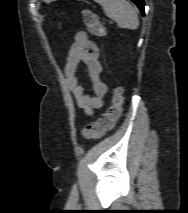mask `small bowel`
Returning <instances> with one entry per match:
<instances>
[{"mask_svg": "<svg viewBox=\"0 0 188 213\" xmlns=\"http://www.w3.org/2000/svg\"><path fill=\"white\" fill-rule=\"evenodd\" d=\"M81 63L87 67L91 81V93L87 92L77 76V70ZM64 73L67 86L72 92L77 106L84 110L86 116H92L95 110L103 106L107 85L102 76L100 50L97 44L89 39L86 32L80 31L75 35L74 43L69 49Z\"/></svg>", "mask_w": 188, "mask_h": 213, "instance_id": "c3829d8e", "label": "small bowel"}]
</instances>
